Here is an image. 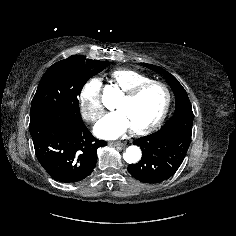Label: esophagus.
<instances>
[{"instance_id": "1", "label": "esophagus", "mask_w": 236, "mask_h": 236, "mask_svg": "<svg viewBox=\"0 0 236 236\" xmlns=\"http://www.w3.org/2000/svg\"><path fill=\"white\" fill-rule=\"evenodd\" d=\"M108 144L111 146H123V143L120 141H111Z\"/></svg>"}]
</instances>
